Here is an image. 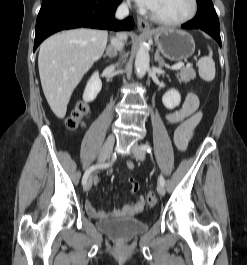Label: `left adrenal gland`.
<instances>
[{
    "instance_id": "left-adrenal-gland-1",
    "label": "left adrenal gland",
    "mask_w": 247,
    "mask_h": 265,
    "mask_svg": "<svg viewBox=\"0 0 247 265\" xmlns=\"http://www.w3.org/2000/svg\"><path fill=\"white\" fill-rule=\"evenodd\" d=\"M154 60L155 62H158L159 68L164 66V59L159 55L158 50L155 53Z\"/></svg>"
}]
</instances>
